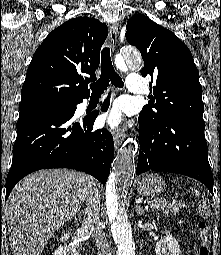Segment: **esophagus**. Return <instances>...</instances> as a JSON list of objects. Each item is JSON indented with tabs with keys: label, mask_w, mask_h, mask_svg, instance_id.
Instances as JSON below:
<instances>
[{
	"label": "esophagus",
	"mask_w": 221,
	"mask_h": 255,
	"mask_svg": "<svg viewBox=\"0 0 221 255\" xmlns=\"http://www.w3.org/2000/svg\"><path fill=\"white\" fill-rule=\"evenodd\" d=\"M117 38H118V24L113 23L110 27V48L112 51L115 50L116 44H117ZM113 138H114V145L115 148L118 149L122 141L124 139V133L123 131L117 129L113 132Z\"/></svg>",
	"instance_id": "obj_1"
}]
</instances>
